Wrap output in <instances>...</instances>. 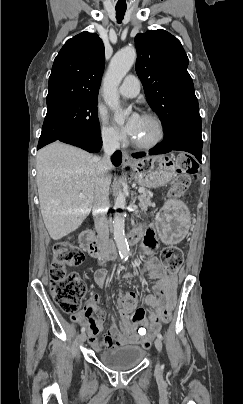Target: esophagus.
<instances>
[{"mask_svg": "<svg viewBox=\"0 0 243 404\" xmlns=\"http://www.w3.org/2000/svg\"><path fill=\"white\" fill-rule=\"evenodd\" d=\"M133 160L130 158L128 152H123V160L122 163L123 165H128L131 164Z\"/></svg>", "mask_w": 243, "mask_h": 404, "instance_id": "obj_1", "label": "esophagus"}]
</instances>
